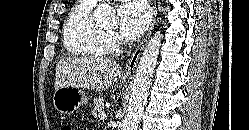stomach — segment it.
Here are the masks:
<instances>
[{"instance_id": "0dacf381", "label": "stomach", "mask_w": 249, "mask_h": 130, "mask_svg": "<svg viewBox=\"0 0 249 130\" xmlns=\"http://www.w3.org/2000/svg\"><path fill=\"white\" fill-rule=\"evenodd\" d=\"M88 101L87 95L80 89L64 86L55 90L53 103L55 108L64 114H72Z\"/></svg>"}]
</instances>
